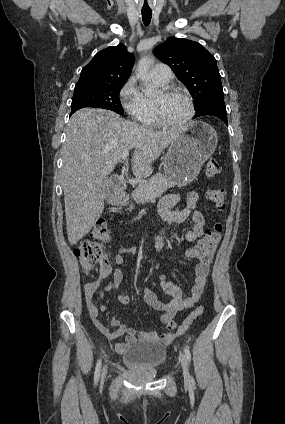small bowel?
<instances>
[{"label":"small bowel","instance_id":"1","mask_svg":"<svg viewBox=\"0 0 285 424\" xmlns=\"http://www.w3.org/2000/svg\"><path fill=\"white\" fill-rule=\"evenodd\" d=\"M180 198L177 194H169L163 197L159 205V211L161 215L170 222V224H179L186 221L188 218L192 221V227L185 232V239L188 242H195L205 236V219L203 214L196 209L197 204L200 200V195L197 192H190L186 198V205L183 209L175 210L174 207L178 204ZM165 231L163 234L153 239L154 248L159 251L165 244ZM137 249L133 246L121 247L118 254L115 256V263L117 268L113 274V282L107 284L101 288L103 279L108 275L110 266L108 263L101 264V271L99 276L86 283L84 286V298L86 307L91 320L95 327L103 334L108 342L124 336L123 342H116L112 344L114 351L117 354H123L127 346L140 341H154L162 344H170L173 339L182 332L178 331V325L174 321L176 314L181 312L183 309L192 307L197 303L204 291L207 277L210 272V260L198 259V263L195 267V278L188 295H183L180 287L166 279L164 274L160 275L161 288L165 295L168 297V302H161L157 295L149 288L144 290L145 302L155 310L162 311L161 322L165 325L166 329L163 333L159 334L154 330L140 331L137 332L135 329L129 327L119 317H111L110 324L115 327V331L110 332L108 328L99 319L100 313L107 310V306L104 304V294L107 291H115L119 288L122 280L123 273L120 266L123 264L124 256L135 254ZM194 248L187 250V256L194 257ZM98 295L100 303L97 304L94 300V296ZM118 300L122 304H128L130 299L127 295H118Z\"/></svg>","mask_w":285,"mask_h":424}]
</instances>
